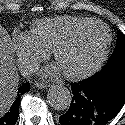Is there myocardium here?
I'll use <instances>...</instances> for the list:
<instances>
[{
  "mask_svg": "<svg viewBox=\"0 0 125 125\" xmlns=\"http://www.w3.org/2000/svg\"><path fill=\"white\" fill-rule=\"evenodd\" d=\"M94 24L101 25L105 29L106 42H105L104 48H103L100 56L98 57V59L88 68H86L80 72H77V73H65L64 72V76L69 80H81V79L87 78L102 68V66L104 65V63L106 62V60L108 58L111 44H112V40H113L112 32H111L109 26L106 23H104L103 21L98 20V19L85 20L84 22L73 27L65 35H63L54 44V46L51 50V53H52L54 60L57 61V58H58V55H59V52L61 51V49L64 46H66L67 44H69L79 31H81L85 27H88V26L94 25Z\"/></svg>",
  "mask_w": 125,
  "mask_h": 125,
  "instance_id": "myocardium-1",
  "label": "myocardium"
}]
</instances>
